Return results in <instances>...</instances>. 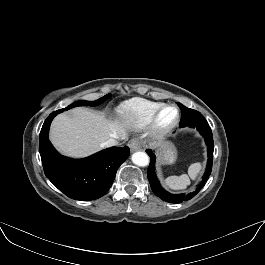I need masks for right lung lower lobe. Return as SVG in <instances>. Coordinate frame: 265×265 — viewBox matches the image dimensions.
<instances>
[{"label":"right lung lower lobe","instance_id":"obj_1","mask_svg":"<svg viewBox=\"0 0 265 265\" xmlns=\"http://www.w3.org/2000/svg\"><path fill=\"white\" fill-rule=\"evenodd\" d=\"M52 112L45 120L39 138V152L46 177L61 192L75 200H94L111 187L117 169L129 157L125 146L111 147L90 157L73 160L60 155L48 138L50 124L59 114Z\"/></svg>","mask_w":265,"mask_h":265}]
</instances>
